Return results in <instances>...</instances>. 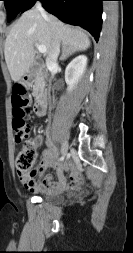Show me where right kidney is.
Returning <instances> with one entry per match:
<instances>
[{
    "instance_id": "obj_1",
    "label": "right kidney",
    "mask_w": 133,
    "mask_h": 253,
    "mask_svg": "<svg viewBox=\"0 0 133 253\" xmlns=\"http://www.w3.org/2000/svg\"><path fill=\"white\" fill-rule=\"evenodd\" d=\"M87 66V57L80 55L74 58L66 67L65 81L68 85V91H72L85 72Z\"/></svg>"
}]
</instances>
